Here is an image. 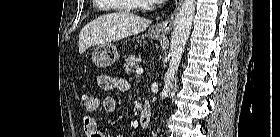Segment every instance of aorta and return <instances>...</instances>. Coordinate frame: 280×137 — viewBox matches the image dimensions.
Segmentation results:
<instances>
[{"instance_id": "762f6f07", "label": "aorta", "mask_w": 280, "mask_h": 137, "mask_svg": "<svg viewBox=\"0 0 280 137\" xmlns=\"http://www.w3.org/2000/svg\"><path fill=\"white\" fill-rule=\"evenodd\" d=\"M195 13V0H184L175 19L169 57V68L164 77V88L161 93L162 99L167 97L169 86L178 70L186 42L192 28Z\"/></svg>"}]
</instances>
